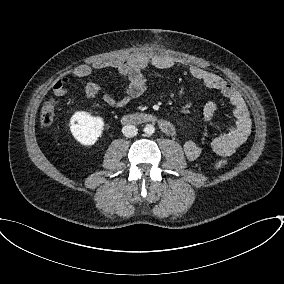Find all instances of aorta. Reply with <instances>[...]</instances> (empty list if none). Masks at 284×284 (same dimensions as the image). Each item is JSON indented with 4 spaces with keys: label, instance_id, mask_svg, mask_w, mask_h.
<instances>
[{
    "label": "aorta",
    "instance_id": "obj_1",
    "mask_svg": "<svg viewBox=\"0 0 284 284\" xmlns=\"http://www.w3.org/2000/svg\"><path fill=\"white\" fill-rule=\"evenodd\" d=\"M155 132V127L152 124H147L144 127V133L148 136L152 135Z\"/></svg>",
    "mask_w": 284,
    "mask_h": 284
}]
</instances>
